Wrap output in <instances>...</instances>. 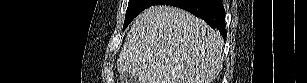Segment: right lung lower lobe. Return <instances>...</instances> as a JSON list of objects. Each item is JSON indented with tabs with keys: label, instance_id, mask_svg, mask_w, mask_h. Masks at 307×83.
I'll use <instances>...</instances> for the list:
<instances>
[{
	"label": "right lung lower lobe",
	"instance_id": "1",
	"mask_svg": "<svg viewBox=\"0 0 307 83\" xmlns=\"http://www.w3.org/2000/svg\"><path fill=\"white\" fill-rule=\"evenodd\" d=\"M158 4L182 8L202 18L213 29H218L224 38L226 37L222 0H153L151 6Z\"/></svg>",
	"mask_w": 307,
	"mask_h": 83
}]
</instances>
